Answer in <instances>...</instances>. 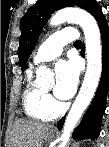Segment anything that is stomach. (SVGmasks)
Returning a JSON list of instances; mask_svg holds the SVG:
<instances>
[{"label":"stomach","instance_id":"obj_1","mask_svg":"<svg viewBox=\"0 0 109 147\" xmlns=\"http://www.w3.org/2000/svg\"><path fill=\"white\" fill-rule=\"evenodd\" d=\"M55 137V132L54 131H48L46 134V140H51Z\"/></svg>","mask_w":109,"mask_h":147}]
</instances>
